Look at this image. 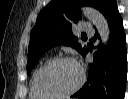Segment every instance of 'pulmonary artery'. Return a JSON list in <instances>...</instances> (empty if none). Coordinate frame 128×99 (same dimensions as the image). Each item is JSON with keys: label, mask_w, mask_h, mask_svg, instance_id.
Wrapping results in <instances>:
<instances>
[{"label": "pulmonary artery", "mask_w": 128, "mask_h": 99, "mask_svg": "<svg viewBox=\"0 0 128 99\" xmlns=\"http://www.w3.org/2000/svg\"><path fill=\"white\" fill-rule=\"evenodd\" d=\"M82 27H83V30L86 31V32H88L89 34L94 33V28H93V26H91L90 24H88V23H83V24H82Z\"/></svg>", "instance_id": "1"}]
</instances>
